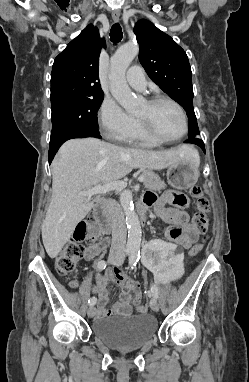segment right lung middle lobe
I'll return each instance as SVG.
<instances>
[{
  "mask_svg": "<svg viewBox=\"0 0 249 382\" xmlns=\"http://www.w3.org/2000/svg\"><path fill=\"white\" fill-rule=\"evenodd\" d=\"M104 95L95 98L62 101L52 106V132L55 139L77 130H98L97 111Z\"/></svg>",
  "mask_w": 249,
  "mask_h": 382,
  "instance_id": "obj_1",
  "label": "right lung middle lobe"
}]
</instances>
